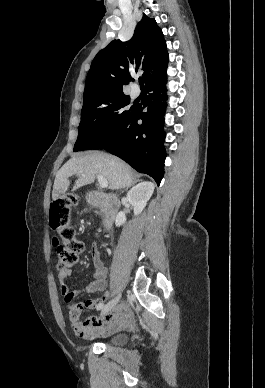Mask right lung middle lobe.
Masks as SVG:
<instances>
[{
  "instance_id": "right-lung-middle-lobe-1",
  "label": "right lung middle lobe",
  "mask_w": 265,
  "mask_h": 388,
  "mask_svg": "<svg viewBox=\"0 0 265 388\" xmlns=\"http://www.w3.org/2000/svg\"><path fill=\"white\" fill-rule=\"evenodd\" d=\"M129 103L122 90H104L84 98L74 151L106 147L130 117L134 106L124 109Z\"/></svg>"
}]
</instances>
